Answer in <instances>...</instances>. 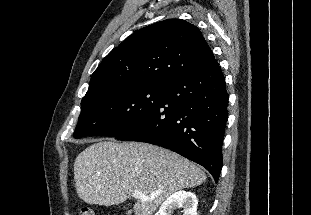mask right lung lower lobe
Masks as SVG:
<instances>
[{
    "label": "right lung lower lobe",
    "instance_id": "right-lung-lower-lobe-1",
    "mask_svg": "<svg viewBox=\"0 0 311 215\" xmlns=\"http://www.w3.org/2000/svg\"><path fill=\"white\" fill-rule=\"evenodd\" d=\"M163 87L161 104L115 138L170 149L205 167L217 182L229 99L218 62L173 78Z\"/></svg>",
    "mask_w": 311,
    "mask_h": 215
}]
</instances>
